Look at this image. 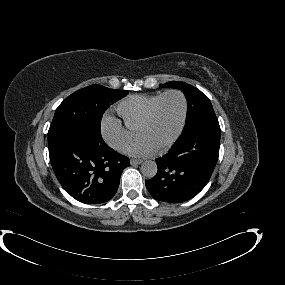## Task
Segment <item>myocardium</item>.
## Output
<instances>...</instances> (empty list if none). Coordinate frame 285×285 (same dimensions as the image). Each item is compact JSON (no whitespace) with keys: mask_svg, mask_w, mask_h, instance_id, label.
I'll use <instances>...</instances> for the list:
<instances>
[{"mask_svg":"<svg viewBox=\"0 0 285 285\" xmlns=\"http://www.w3.org/2000/svg\"><path fill=\"white\" fill-rule=\"evenodd\" d=\"M169 95H177L181 98V100L183 102V113H182V117H181L178 129L175 132V134L173 135V137L168 142H166L165 144L157 147V150L160 152L165 151V150L169 149L170 147H172L176 143V141L179 139V137L181 136V134L184 130L186 120H187V115H188V101H187L186 96L179 90H169V91L164 92L158 98V100L155 102V104L151 108L148 116L140 123V125L137 128V130H139L140 128L148 125L153 120L160 103L164 100V98H166Z\"/></svg>","mask_w":285,"mask_h":285,"instance_id":"myocardium-1","label":"myocardium"}]
</instances>
